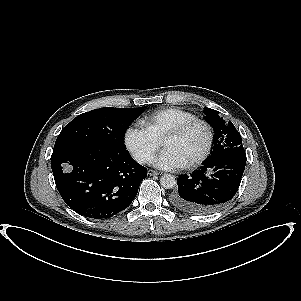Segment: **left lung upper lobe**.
Returning <instances> with one entry per match:
<instances>
[{
	"mask_svg": "<svg viewBox=\"0 0 301 301\" xmlns=\"http://www.w3.org/2000/svg\"><path fill=\"white\" fill-rule=\"evenodd\" d=\"M205 120L215 131L214 147L209 157L221 153L226 148L242 146V139L232 122L228 125L219 117V112L210 108L204 109Z\"/></svg>",
	"mask_w": 301,
	"mask_h": 301,
	"instance_id": "5c2ea615",
	"label": "left lung upper lobe"
}]
</instances>
